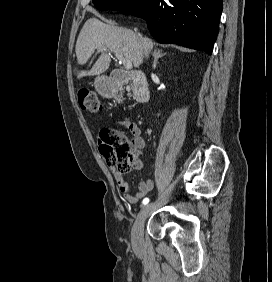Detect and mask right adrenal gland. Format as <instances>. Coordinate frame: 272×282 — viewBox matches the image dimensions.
Listing matches in <instances>:
<instances>
[{
	"mask_svg": "<svg viewBox=\"0 0 272 282\" xmlns=\"http://www.w3.org/2000/svg\"><path fill=\"white\" fill-rule=\"evenodd\" d=\"M164 55H166V53H162V51L160 49H154L153 51V56H154V61H153V69L156 68V65L158 63V59L163 57Z\"/></svg>",
	"mask_w": 272,
	"mask_h": 282,
	"instance_id": "right-adrenal-gland-1",
	"label": "right adrenal gland"
}]
</instances>
